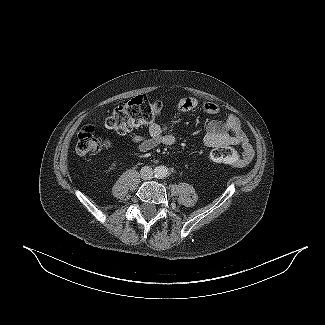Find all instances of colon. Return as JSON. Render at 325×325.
I'll list each match as a JSON object with an SVG mask.
<instances>
[{
  "instance_id": "colon-1",
  "label": "colon",
  "mask_w": 325,
  "mask_h": 325,
  "mask_svg": "<svg viewBox=\"0 0 325 325\" xmlns=\"http://www.w3.org/2000/svg\"><path fill=\"white\" fill-rule=\"evenodd\" d=\"M162 113L163 105L160 102L139 95L115 107L106 120V127L115 133L125 134L134 127L156 123ZM107 145V142L97 138L91 125L84 126L78 132L76 151L80 155L97 153ZM209 157L212 162L225 165H237L240 160L237 151L229 145L214 147Z\"/></svg>"
}]
</instances>
